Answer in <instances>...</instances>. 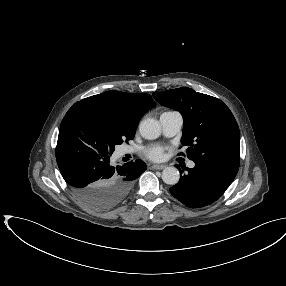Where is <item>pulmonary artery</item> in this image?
I'll list each match as a JSON object with an SVG mask.
<instances>
[{
	"mask_svg": "<svg viewBox=\"0 0 286 286\" xmlns=\"http://www.w3.org/2000/svg\"><path fill=\"white\" fill-rule=\"evenodd\" d=\"M160 124L162 127L163 134L167 137H172L179 133L183 125V117L177 111L164 112L160 116ZM125 152H130L131 150L126 148ZM195 163L193 161L188 162V166L193 168Z\"/></svg>",
	"mask_w": 286,
	"mask_h": 286,
	"instance_id": "e3ab8cb5",
	"label": "pulmonary artery"
}]
</instances>
